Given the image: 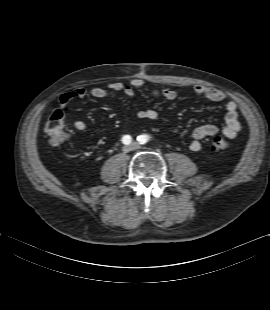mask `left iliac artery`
<instances>
[{
    "label": "left iliac artery",
    "instance_id": "obj_1",
    "mask_svg": "<svg viewBox=\"0 0 270 310\" xmlns=\"http://www.w3.org/2000/svg\"><path fill=\"white\" fill-rule=\"evenodd\" d=\"M137 140L139 141L140 144H145L149 140L148 135H140L137 137Z\"/></svg>",
    "mask_w": 270,
    "mask_h": 310
}]
</instances>
